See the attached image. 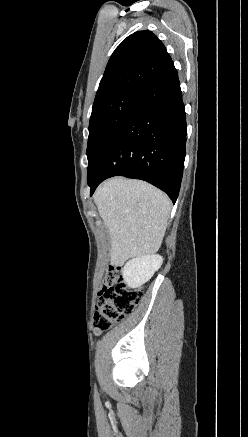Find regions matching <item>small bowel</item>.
Returning <instances> with one entry per match:
<instances>
[{"label":"small bowel","instance_id":"small-bowel-1","mask_svg":"<svg viewBox=\"0 0 248 437\" xmlns=\"http://www.w3.org/2000/svg\"><path fill=\"white\" fill-rule=\"evenodd\" d=\"M95 333H96V334H99V333H100V330L96 329V330H95Z\"/></svg>","mask_w":248,"mask_h":437}]
</instances>
